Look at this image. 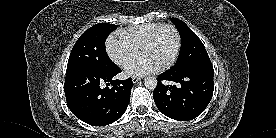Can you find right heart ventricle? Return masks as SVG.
<instances>
[{
  "instance_id": "obj_1",
  "label": "right heart ventricle",
  "mask_w": 276,
  "mask_h": 138,
  "mask_svg": "<svg viewBox=\"0 0 276 138\" xmlns=\"http://www.w3.org/2000/svg\"><path fill=\"white\" fill-rule=\"evenodd\" d=\"M162 23H145L136 26H132L126 30L121 31L119 34L132 43L137 49H140L143 43L150 37V35L160 26Z\"/></svg>"
}]
</instances>
